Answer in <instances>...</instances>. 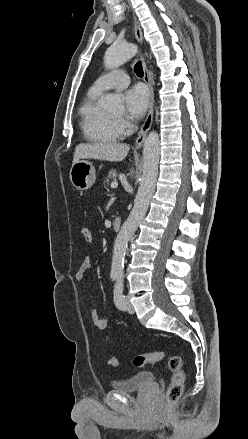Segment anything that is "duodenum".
<instances>
[{
    "instance_id": "410a0bca",
    "label": "duodenum",
    "mask_w": 248,
    "mask_h": 439,
    "mask_svg": "<svg viewBox=\"0 0 248 439\" xmlns=\"http://www.w3.org/2000/svg\"><path fill=\"white\" fill-rule=\"evenodd\" d=\"M122 226V218L120 216H116L112 222V228L115 231L120 230Z\"/></svg>"
}]
</instances>
